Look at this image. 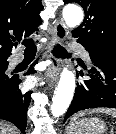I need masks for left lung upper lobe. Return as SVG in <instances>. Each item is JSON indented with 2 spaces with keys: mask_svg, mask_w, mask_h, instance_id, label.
Wrapping results in <instances>:
<instances>
[{
  "mask_svg": "<svg viewBox=\"0 0 116 134\" xmlns=\"http://www.w3.org/2000/svg\"><path fill=\"white\" fill-rule=\"evenodd\" d=\"M64 0V3H70ZM85 12L82 24L73 37L90 53L116 56V0H75Z\"/></svg>",
  "mask_w": 116,
  "mask_h": 134,
  "instance_id": "5c2ea615",
  "label": "left lung upper lobe"
}]
</instances>
